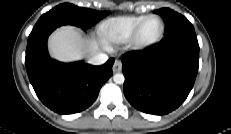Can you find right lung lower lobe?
<instances>
[{"label": "right lung lower lobe", "instance_id": "1", "mask_svg": "<svg viewBox=\"0 0 231 134\" xmlns=\"http://www.w3.org/2000/svg\"><path fill=\"white\" fill-rule=\"evenodd\" d=\"M64 22L35 25L28 37L25 65L29 80L44 105L59 114H73L88 108L100 88L112 75L114 59L102 66L82 61L61 63L47 52L48 36Z\"/></svg>", "mask_w": 231, "mask_h": 134}]
</instances>
